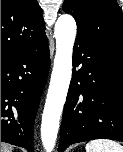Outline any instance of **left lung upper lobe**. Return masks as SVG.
I'll return each instance as SVG.
<instances>
[{"instance_id": "1", "label": "left lung upper lobe", "mask_w": 123, "mask_h": 152, "mask_svg": "<svg viewBox=\"0 0 123 152\" xmlns=\"http://www.w3.org/2000/svg\"><path fill=\"white\" fill-rule=\"evenodd\" d=\"M63 10L77 22V32L123 52V17L116 0H65Z\"/></svg>"}]
</instances>
